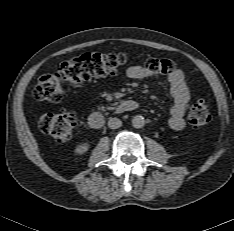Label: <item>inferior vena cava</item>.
<instances>
[{
    "instance_id": "1",
    "label": "inferior vena cava",
    "mask_w": 234,
    "mask_h": 231,
    "mask_svg": "<svg viewBox=\"0 0 234 231\" xmlns=\"http://www.w3.org/2000/svg\"><path fill=\"white\" fill-rule=\"evenodd\" d=\"M122 126V122L118 118H110L108 121V127L111 129H117Z\"/></svg>"
}]
</instances>
